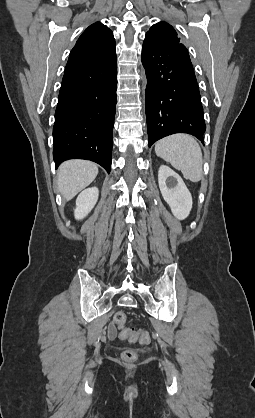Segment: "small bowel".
Listing matches in <instances>:
<instances>
[{
    "mask_svg": "<svg viewBox=\"0 0 255 418\" xmlns=\"http://www.w3.org/2000/svg\"><path fill=\"white\" fill-rule=\"evenodd\" d=\"M109 336H110V337H115V336H116V328H115V326H114V325H111V326L109 327Z\"/></svg>",
    "mask_w": 255,
    "mask_h": 418,
    "instance_id": "obj_1",
    "label": "small bowel"
}]
</instances>
